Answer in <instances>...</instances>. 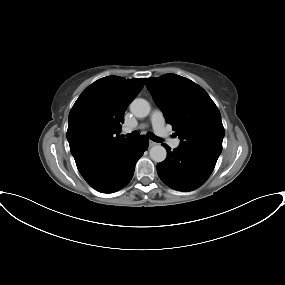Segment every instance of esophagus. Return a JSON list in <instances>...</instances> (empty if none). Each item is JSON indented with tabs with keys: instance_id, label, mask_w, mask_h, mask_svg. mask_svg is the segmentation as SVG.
Here are the masks:
<instances>
[{
	"instance_id": "1",
	"label": "esophagus",
	"mask_w": 285,
	"mask_h": 285,
	"mask_svg": "<svg viewBox=\"0 0 285 285\" xmlns=\"http://www.w3.org/2000/svg\"><path fill=\"white\" fill-rule=\"evenodd\" d=\"M155 145H157V143H156V142L149 141V146H150V147H153V146H155Z\"/></svg>"
}]
</instances>
